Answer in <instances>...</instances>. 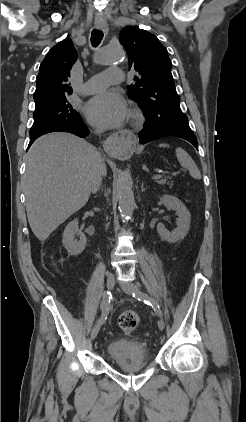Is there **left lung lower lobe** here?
Masks as SVG:
<instances>
[{
	"mask_svg": "<svg viewBox=\"0 0 246 422\" xmlns=\"http://www.w3.org/2000/svg\"><path fill=\"white\" fill-rule=\"evenodd\" d=\"M167 136L183 138L192 143L195 148L198 149L196 136L189 127L188 123H169L156 127L145 126L143 131L139 133V143L146 144L150 141Z\"/></svg>",
	"mask_w": 246,
	"mask_h": 422,
	"instance_id": "obj_1",
	"label": "left lung lower lobe"
}]
</instances>
